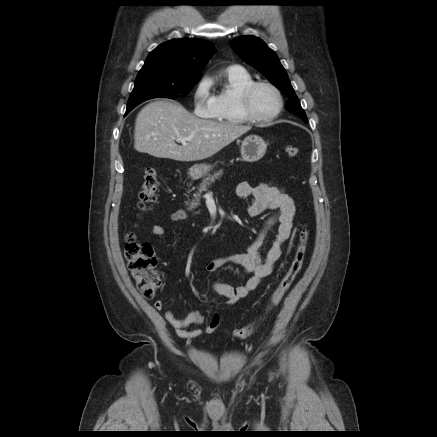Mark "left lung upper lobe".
<instances>
[{"label":"left lung upper lobe","instance_id":"left-lung-upper-lobe-1","mask_svg":"<svg viewBox=\"0 0 437 437\" xmlns=\"http://www.w3.org/2000/svg\"><path fill=\"white\" fill-rule=\"evenodd\" d=\"M244 61L260 71L273 85L288 96L286 109L307 122V116L277 55L261 39L242 36L230 42Z\"/></svg>","mask_w":437,"mask_h":437}]
</instances>
